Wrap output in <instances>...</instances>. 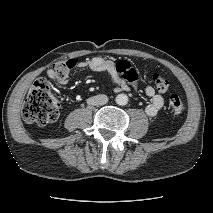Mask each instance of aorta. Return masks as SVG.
Returning <instances> with one entry per match:
<instances>
[{"mask_svg":"<svg viewBox=\"0 0 213 213\" xmlns=\"http://www.w3.org/2000/svg\"><path fill=\"white\" fill-rule=\"evenodd\" d=\"M116 103L118 105L124 106L128 103V96L126 94H119L116 97Z\"/></svg>","mask_w":213,"mask_h":213,"instance_id":"obj_1","label":"aorta"}]
</instances>
